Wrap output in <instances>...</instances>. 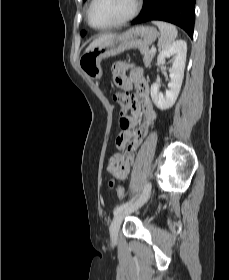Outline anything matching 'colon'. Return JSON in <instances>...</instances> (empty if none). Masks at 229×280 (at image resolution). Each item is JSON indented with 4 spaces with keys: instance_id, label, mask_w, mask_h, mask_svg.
Wrapping results in <instances>:
<instances>
[{
    "instance_id": "1",
    "label": "colon",
    "mask_w": 229,
    "mask_h": 280,
    "mask_svg": "<svg viewBox=\"0 0 229 280\" xmlns=\"http://www.w3.org/2000/svg\"><path fill=\"white\" fill-rule=\"evenodd\" d=\"M119 99L122 104L129 103V97L127 95L123 94L119 97ZM118 122L121 129H128L131 125L130 118L124 114L120 115ZM109 170L114 172H126L128 170V163L124 162L122 152H115L112 154L109 163ZM110 185H112V183H110ZM116 190L119 198L123 199L125 197L124 189L121 186H118Z\"/></svg>"
}]
</instances>
